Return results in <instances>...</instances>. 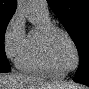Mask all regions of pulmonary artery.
<instances>
[{"label":"pulmonary artery","instance_id":"1","mask_svg":"<svg viewBox=\"0 0 89 89\" xmlns=\"http://www.w3.org/2000/svg\"><path fill=\"white\" fill-rule=\"evenodd\" d=\"M35 10L44 16H49L48 5L45 0H36L34 1Z\"/></svg>","mask_w":89,"mask_h":89}]
</instances>
